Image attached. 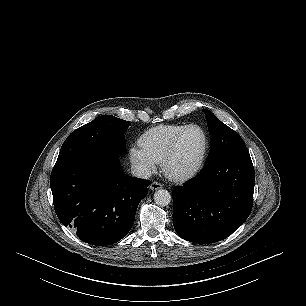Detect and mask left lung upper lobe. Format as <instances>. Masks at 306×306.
Masks as SVG:
<instances>
[{"instance_id": "left-lung-upper-lobe-1", "label": "left lung upper lobe", "mask_w": 306, "mask_h": 306, "mask_svg": "<svg viewBox=\"0 0 306 306\" xmlns=\"http://www.w3.org/2000/svg\"><path fill=\"white\" fill-rule=\"evenodd\" d=\"M207 118L211 147L206 164L227 156L249 154L241 136L217 119L209 110L204 109Z\"/></svg>"}]
</instances>
